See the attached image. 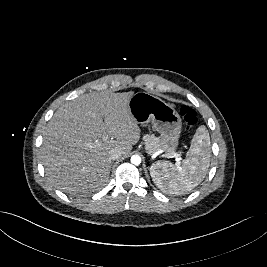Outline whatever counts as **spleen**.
I'll return each instance as SVG.
<instances>
[{
	"label": "spleen",
	"instance_id": "3e777b00",
	"mask_svg": "<svg viewBox=\"0 0 267 267\" xmlns=\"http://www.w3.org/2000/svg\"><path fill=\"white\" fill-rule=\"evenodd\" d=\"M210 157V136L202 125L196 130L181 166L158 162L150 167V175L162 191L180 195L191 191L203 181L210 165Z\"/></svg>",
	"mask_w": 267,
	"mask_h": 267
}]
</instances>
